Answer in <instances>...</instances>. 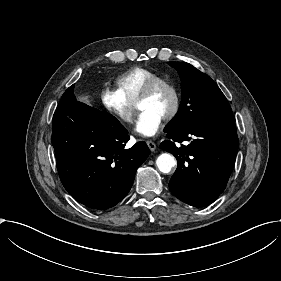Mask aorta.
Returning <instances> with one entry per match:
<instances>
[{
  "instance_id": "1",
  "label": "aorta",
  "mask_w": 281,
  "mask_h": 281,
  "mask_svg": "<svg viewBox=\"0 0 281 281\" xmlns=\"http://www.w3.org/2000/svg\"><path fill=\"white\" fill-rule=\"evenodd\" d=\"M156 165L162 173H169L176 165V160L169 153H162L156 160Z\"/></svg>"
}]
</instances>
